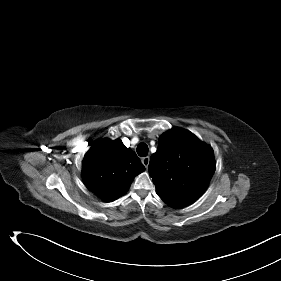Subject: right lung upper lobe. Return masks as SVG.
Masks as SVG:
<instances>
[{
    "label": "right lung upper lobe",
    "mask_w": 281,
    "mask_h": 281,
    "mask_svg": "<svg viewBox=\"0 0 281 281\" xmlns=\"http://www.w3.org/2000/svg\"><path fill=\"white\" fill-rule=\"evenodd\" d=\"M82 166L86 187L107 202L124 195L133 178L145 170L135 152L119 139L95 143L85 155Z\"/></svg>",
    "instance_id": "1"
}]
</instances>
